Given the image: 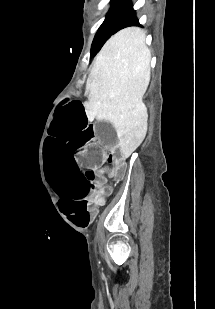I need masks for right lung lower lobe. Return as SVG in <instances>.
Instances as JSON below:
<instances>
[{"instance_id": "98d812e1", "label": "right lung lower lobe", "mask_w": 215, "mask_h": 309, "mask_svg": "<svg viewBox=\"0 0 215 309\" xmlns=\"http://www.w3.org/2000/svg\"><path fill=\"white\" fill-rule=\"evenodd\" d=\"M129 26H141L139 24L138 19L136 18V13L133 10L132 6L129 7V9L126 11L124 16L122 17V19L120 21V27L119 28L123 29V28L129 27Z\"/></svg>"}]
</instances>
